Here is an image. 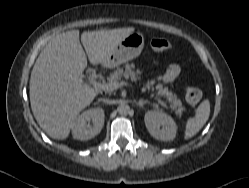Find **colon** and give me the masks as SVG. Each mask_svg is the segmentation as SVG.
<instances>
[{
    "label": "colon",
    "mask_w": 249,
    "mask_h": 188,
    "mask_svg": "<svg viewBox=\"0 0 249 188\" xmlns=\"http://www.w3.org/2000/svg\"><path fill=\"white\" fill-rule=\"evenodd\" d=\"M150 45L152 49L159 52L166 51L171 47L170 41L165 38H153ZM185 97L189 104L196 105L200 102L202 94L199 89L188 86L185 89Z\"/></svg>",
    "instance_id": "colon-1"
}]
</instances>
